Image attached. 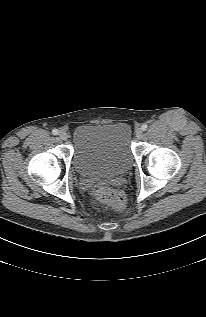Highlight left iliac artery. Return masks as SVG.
<instances>
[{
	"label": "left iliac artery",
	"mask_w": 206,
	"mask_h": 317,
	"mask_svg": "<svg viewBox=\"0 0 206 317\" xmlns=\"http://www.w3.org/2000/svg\"><path fill=\"white\" fill-rule=\"evenodd\" d=\"M147 128H148V126H147L146 124H143V125L141 126V129H142L143 131L147 130Z\"/></svg>",
	"instance_id": "1"
}]
</instances>
